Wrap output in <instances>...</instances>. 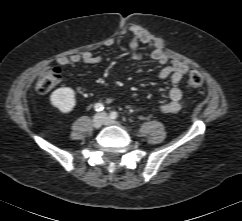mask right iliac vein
<instances>
[{"mask_svg":"<svg viewBox=\"0 0 242 221\" xmlns=\"http://www.w3.org/2000/svg\"><path fill=\"white\" fill-rule=\"evenodd\" d=\"M104 124V117L101 114H96L93 117L92 125L95 129H99Z\"/></svg>","mask_w":242,"mask_h":221,"instance_id":"63e3f726","label":"right iliac vein"}]
</instances>
